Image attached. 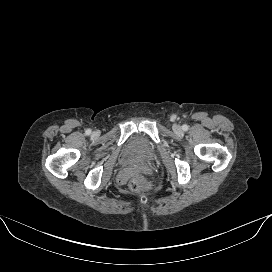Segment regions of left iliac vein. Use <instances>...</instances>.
Wrapping results in <instances>:
<instances>
[{
    "label": "left iliac vein",
    "mask_w": 272,
    "mask_h": 272,
    "mask_svg": "<svg viewBox=\"0 0 272 272\" xmlns=\"http://www.w3.org/2000/svg\"><path fill=\"white\" fill-rule=\"evenodd\" d=\"M173 130H174L176 133H180V132L182 131V128H181L180 125L175 124V125L173 126Z\"/></svg>",
    "instance_id": "obj_1"
}]
</instances>
